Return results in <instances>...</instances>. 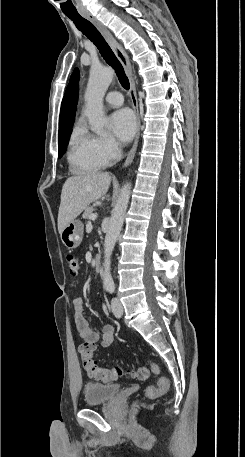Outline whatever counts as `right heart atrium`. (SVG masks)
<instances>
[{"label":"right heart atrium","instance_id":"d8ad5b80","mask_svg":"<svg viewBox=\"0 0 245 457\" xmlns=\"http://www.w3.org/2000/svg\"><path fill=\"white\" fill-rule=\"evenodd\" d=\"M88 142L95 153L106 163L115 161L120 155V146L112 138L87 133Z\"/></svg>","mask_w":245,"mask_h":457}]
</instances>
